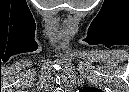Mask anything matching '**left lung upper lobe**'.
Instances as JSON below:
<instances>
[{"instance_id": "left-lung-upper-lobe-1", "label": "left lung upper lobe", "mask_w": 129, "mask_h": 92, "mask_svg": "<svg viewBox=\"0 0 129 92\" xmlns=\"http://www.w3.org/2000/svg\"><path fill=\"white\" fill-rule=\"evenodd\" d=\"M82 91L83 92H101L100 89H96V88H85Z\"/></svg>"}]
</instances>
